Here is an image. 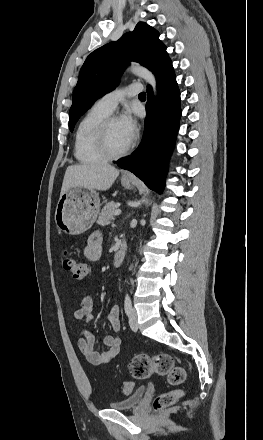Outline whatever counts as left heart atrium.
Listing matches in <instances>:
<instances>
[{
	"label": "left heart atrium",
	"mask_w": 263,
	"mask_h": 440,
	"mask_svg": "<svg viewBox=\"0 0 263 440\" xmlns=\"http://www.w3.org/2000/svg\"><path fill=\"white\" fill-rule=\"evenodd\" d=\"M120 126L126 136L131 142L137 132V121L130 111H126L119 119Z\"/></svg>",
	"instance_id": "left-heart-atrium-1"
}]
</instances>
